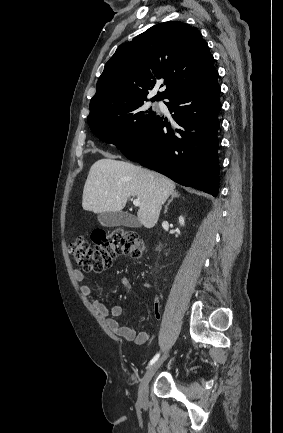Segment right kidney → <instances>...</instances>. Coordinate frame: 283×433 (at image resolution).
Returning a JSON list of instances; mask_svg holds the SVG:
<instances>
[{
    "instance_id": "1",
    "label": "right kidney",
    "mask_w": 283,
    "mask_h": 433,
    "mask_svg": "<svg viewBox=\"0 0 283 433\" xmlns=\"http://www.w3.org/2000/svg\"><path fill=\"white\" fill-rule=\"evenodd\" d=\"M179 223L181 225H184V218L182 216L179 217Z\"/></svg>"
}]
</instances>
